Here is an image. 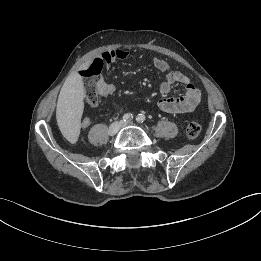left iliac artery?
I'll return each instance as SVG.
<instances>
[{"label":"left iliac artery","mask_w":261,"mask_h":261,"mask_svg":"<svg viewBox=\"0 0 261 261\" xmlns=\"http://www.w3.org/2000/svg\"><path fill=\"white\" fill-rule=\"evenodd\" d=\"M137 122L143 123L145 121V116L143 114H138L136 117Z\"/></svg>","instance_id":"obj_1"}]
</instances>
